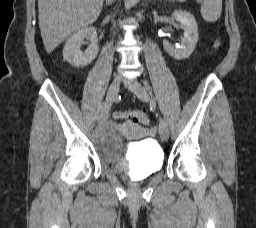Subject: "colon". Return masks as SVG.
<instances>
[{"label":"colon","instance_id":"1","mask_svg":"<svg viewBox=\"0 0 256 228\" xmlns=\"http://www.w3.org/2000/svg\"><path fill=\"white\" fill-rule=\"evenodd\" d=\"M217 45H219V43H217ZM114 118L117 120L132 119L143 125L150 124L147 114L143 111H116L114 113Z\"/></svg>","mask_w":256,"mask_h":228}]
</instances>
